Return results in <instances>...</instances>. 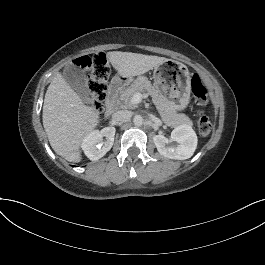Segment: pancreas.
Instances as JSON below:
<instances>
[{"instance_id":"pancreas-1","label":"pancreas","mask_w":265,"mask_h":265,"mask_svg":"<svg viewBox=\"0 0 265 265\" xmlns=\"http://www.w3.org/2000/svg\"><path fill=\"white\" fill-rule=\"evenodd\" d=\"M147 91L152 97L153 103L156 105L158 112L162 118V121L171 127H175L181 124L192 125V121L185 114L177 113L176 105L164 97L159 91L151 84L145 76H139L136 80L125 90L121 92L120 100L122 101V108L134 109L137 107L132 103L131 99L137 92L143 93Z\"/></svg>"}]
</instances>
